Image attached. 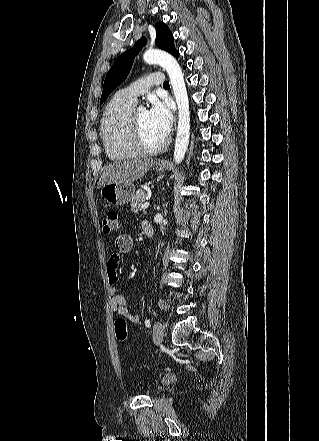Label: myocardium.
I'll return each mask as SVG.
<instances>
[{"instance_id":"myocardium-1","label":"myocardium","mask_w":319,"mask_h":441,"mask_svg":"<svg viewBox=\"0 0 319 441\" xmlns=\"http://www.w3.org/2000/svg\"><path fill=\"white\" fill-rule=\"evenodd\" d=\"M137 112L133 111L130 117V138L134 148L141 154L152 155L162 152L168 145V140H164L156 146H148L141 133Z\"/></svg>"}]
</instances>
